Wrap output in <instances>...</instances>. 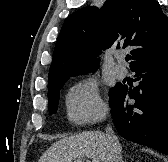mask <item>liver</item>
<instances>
[{
    "label": "liver",
    "instance_id": "obj_1",
    "mask_svg": "<svg viewBox=\"0 0 168 162\" xmlns=\"http://www.w3.org/2000/svg\"><path fill=\"white\" fill-rule=\"evenodd\" d=\"M106 135L88 131L55 142L38 162H74L84 157L92 162H109Z\"/></svg>",
    "mask_w": 168,
    "mask_h": 162
}]
</instances>
